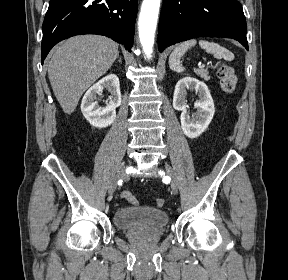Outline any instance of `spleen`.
Wrapping results in <instances>:
<instances>
[{
  "instance_id": "obj_1",
  "label": "spleen",
  "mask_w": 288,
  "mask_h": 280,
  "mask_svg": "<svg viewBox=\"0 0 288 280\" xmlns=\"http://www.w3.org/2000/svg\"><path fill=\"white\" fill-rule=\"evenodd\" d=\"M197 41L191 39L180 43L172 51L169 57V67L175 72L182 73L185 68L181 65L180 58L193 46H195ZM199 45L207 53L213 54L215 58H223L226 61H232L234 59V54L230 52L225 47L220 46L218 43L209 42L207 40H200Z\"/></svg>"
}]
</instances>
